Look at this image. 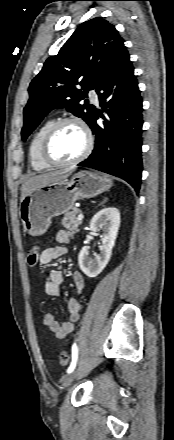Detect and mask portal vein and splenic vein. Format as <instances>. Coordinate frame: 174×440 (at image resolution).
<instances>
[{"label":"portal vein and splenic vein","instance_id":"18ae733b","mask_svg":"<svg viewBox=\"0 0 174 440\" xmlns=\"http://www.w3.org/2000/svg\"><path fill=\"white\" fill-rule=\"evenodd\" d=\"M83 218H84V216H83L82 214H79L78 217H77V220H78V221H82Z\"/></svg>","mask_w":174,"mask_h":440}]
</instances>
